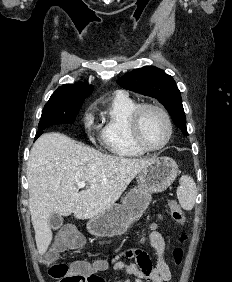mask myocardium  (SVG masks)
I'll use <instances>...</instances> for the list:
<instances>
[{
	"mask_svg": "<svg viewBox=\"0 0 232 282\" xmlns=\"http://www.w3.org/2000/svg\"><path fill=\"white\" fill-rule=\"evenodd\" d=\"M147 110H154L160 113L163 118L166 121L167 127H168V135L163 143L157 146H151L147 144L142 135H141V129H140V124H141V119L145 111ZM129 129H130V134L133 142L142 150L152 152V151H158L166 147L173 136L174 133V126L172 119L168 112L162 108L159 105L152 104V103H143L139 104L131 113L130 118H129Z\"/></svg>",
	"mask_w": 232,
	"mask_h": 282,
	"instance_id": "obj_1",
	"label": "myocardium"
}]
</instances>
